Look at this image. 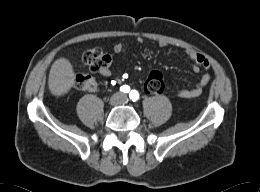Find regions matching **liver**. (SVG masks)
Returning a JSON list of instances; mask_svg holds the SVG:
<instances>
[{
  "label": "liver",
  "mask_w": 260,
  "mask_h": 192,
  "mask_svg": "<svg viewBox=\"0 0 260 192\" xmlns=\"http://www.w3.org/2000/svg\"><path fill=\"white\" fill-rule=\"evenodd\" d=\"M75 73L70 61L66 58H59L51 66L48 85L49 90L55 96H62L74 86Z\"/></svg>",
  "instance_id": "liver-1"
}]
</instances>
